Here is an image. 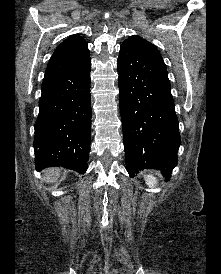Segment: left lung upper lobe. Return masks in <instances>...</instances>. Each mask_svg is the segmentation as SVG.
Returning a JSON list of instances; mask_svg holds the SVG:
<instances>
[{
    "mask_svg": "<svg viewBox=\"0 0 221 274\" xmlns=\"http://www.w3.org/2000/svg\"><path fill=\"white\" fill-rule=\"evenodd\" d=\"M123 43L129 44V45L135 47L136 49L140 50L141 52H144L145 54H147L155 59L163 61L156 46L153 45L152 43L142 39L141 37H139L137 35L130 36Z\"/></svg>",
    "mask_w": 221,
    "mask_h": 274,
    "instance_id": "5c2ea615",
    "label": "left lung upper lobe"
}]
</instances>
